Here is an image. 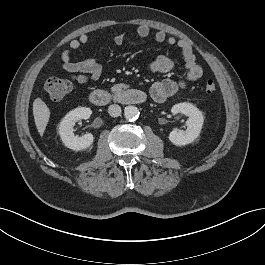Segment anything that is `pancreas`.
I'll return each instance as SVG.
<instances>
[{"mask_svg":"<svg viewBox=\"0 0 265 265\" xmlns=\"http://www.w3.org/2000/svg\"><path fill=\"white\" fill-rule=\"evenodd\" d=\"M123 86L120 84H117L115 86L112 87V91L114 92H120L122 90Z\"/></svg>","mask_w":265,"mask_h":265,"instance_id":"cf45deb5","label":"pancreas"}]
</instances>
